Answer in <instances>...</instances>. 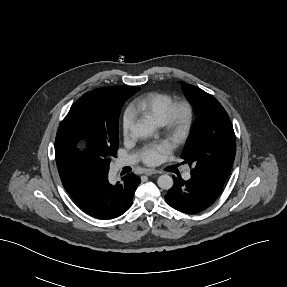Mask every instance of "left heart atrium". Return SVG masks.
Wrapping results in <instances>:
<instances>
[{"instance_id":"39dd6f15","label":"left heart atrium","mask_w":287,"mask_h":287,"mask_svg":"<svg viewBox=\"0 0 287 287\" xmlns=\"http://www.w3.org/2000/svg\"><path fill=\"white\" fill-rule=\"evenodd\" d=\"M170 150L171 146L168 143L152 144L145 148L142 159L148 165H157Z\"/></svg>"}]
</instances>
